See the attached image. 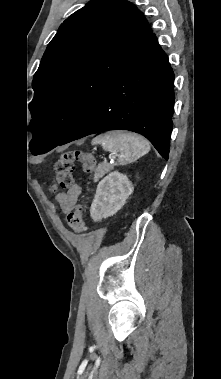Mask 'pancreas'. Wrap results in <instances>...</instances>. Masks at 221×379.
Listing matches in <instances>:
<instances>
[{"label":"pancreas","mask_w":221,"mask_h":379,"mask_svg":"<svg viewBox=\"0 0 221 379\" xmlns=\"http://www.w3.org/2000/svg\"><path fill=\"white\" fill-rule=\"evenodd\" d=\"M115 164L109 163H101L95 170L93 180L97 182L100 178H102L106 173L111 171L114 168Z\"/></svg>","instance_id":"cf45deb5"}]
</instances>
